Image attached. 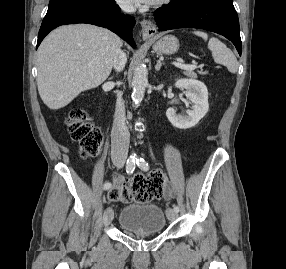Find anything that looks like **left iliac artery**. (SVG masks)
Listing matches in <instances>:
<instances>
[{
    "label": "left iliac artery",
    "mask_w": 286,
    "mask_h": 269,
    "mask_svg": "<svg viewBox=\"0 0 286 269\" xmlns=\"http://www.w3.org/2000/svg\"><path fill=\"white\" fill-rule=\"evenodd\" d=\"M136 164L143 171H148L149 170L148 163L142 157L136 158ZM173 208H174V211L179 212V207L178 206L173 205Z\"/></svg>",
    "instance_id": "1"
}]
</instances>
